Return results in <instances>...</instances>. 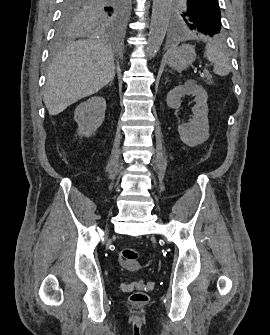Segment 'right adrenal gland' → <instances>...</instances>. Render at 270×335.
Returning a JSON list of instances; mask_svg holds the SVG:
<instances>
[{
	"label": "right adrenal gland",
	"mask_w": 270,
	"mask_h": 335,
	"mask_svg": "<svg viewBox=\"0 0 270 335\" xmlns=\"http://www.w3.org/2000/svg\"><path fill=\"white\" fill-rule=\"evenodd\" d=\"M111 84H113V80H111V82H110L109 86H111Z\"/></svg>",
	"instance_id": "obj_1"
}]
</instances>
